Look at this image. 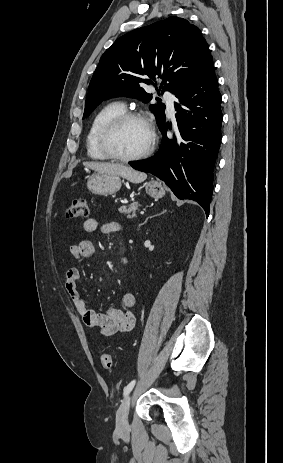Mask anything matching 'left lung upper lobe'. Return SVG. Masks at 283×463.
I'll return each mask as SVG.
<instances>
[{"instance_id":"obj_1","label":"left lung upper lobe","mask_w":283,"mask_h":463,"mask_svg":"<svg viewBox=\"0 0 283 463\" xmlns=\"http://www.w3.org/2000/svg\"><path fill=\"white\" fill-rule=\"evenodd\" d=\"M212 65L199 29L185 19L169 17L133 30L118 38L102 55L89 84L83 118L111 97L150 101L152 95L142 86L154 84L156 78L162 79L158 93L167 90L175 95L205 75ZM149 108L159 127L165 121V104Z\"/></svg>"}]
</instances>
